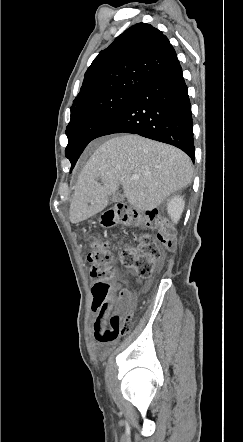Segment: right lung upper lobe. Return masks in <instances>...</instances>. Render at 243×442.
Wrapping results in <instances>:
<instances>
[{"label": "right lung upper lobe", "instance_id": "right-lung-upper-lobe-1", "mask_svg": "<svg viewBox=\"0 0 243 442\" xmlns=\"http://www.w3.org/2000/svg\"><path fill=\"white\" fill-rule=\"evenodd\" d=\"M176 57L161 31L143 22L135 24L94 59L71 109L115 91H135Z\"/></svg>", "mask_w": 243, "mask_h": 442}]
</instances>
